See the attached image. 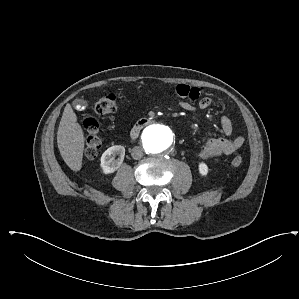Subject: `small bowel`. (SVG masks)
<instances>
[{"instance_id":"c3829d8e","label":"small bowel","mask_w":299,"mask_h":299,"mask_svg":"<svg viewBox=\"0 0 299 299\" xmlns=\"http://www.w3.org/2000/svg\"><path fill=\"white\" fill-rule=\"evenodd\" d=\"M179 106L186 111L194 112L205 110L212 104V98L203 94L199 89L191 88L188 85L180 84L176 87ZM220 125L224 137L209 138L200 148L201 158L209 159L220 156L235 154L244 144L242 136L231 138L233 133V122L227 115L220 118Z\"/></svg>"}]
</instances>
